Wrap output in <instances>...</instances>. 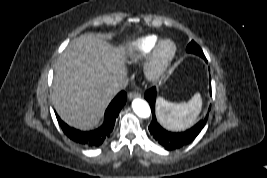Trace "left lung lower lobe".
I'll return each instance as SVG.
<instances>
[{
    "label": "left lung lower lobe",
    "instance_id": "1",
    "mask_svg": "<svg viewBox=\"0 0 267 178\" xmlns=\"http://www.w3.org/2000/svg\"><path fill=\"white\" fill-rule=\"evenodd\" d=\"M145 98L149 102L153 114V119L149 125V132L152 137L167 150L178 149L189 144L198 136L206 124L208 115H206L192 128L184 132H169L160 126L155 117L156 89L153 87L147 90Z\"/></svg>",
    "mask_w": 267,
    "mask_h": 178
}]
</instances>
